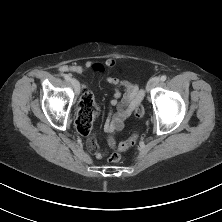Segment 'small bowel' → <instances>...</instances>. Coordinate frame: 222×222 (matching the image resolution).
<instances>
[{
    "instance_id": "obj_1",
    "label": "small bowel",
    "mask_w": 222,
    "mask_h": 222,
    "mask_svg": "<svg viewBox=\"0 0 222 222\" xmlns=\"http://www.w3.org/2000/svg\"><path fill=\"white\" fill-rule=\"evenodd\" d=\"M116 61L114 59L106 60L105 64L95 63L93 61H88L85 65H62L60 71H71L78 74H84L88 70L99 72L106 67H114ZM107 82L115 88V93L113 99L110 102L111 107H116L115 112H110L104 128L107 132L114 133L123 129L125 122L132 115L135 107L143 99V91L135 84L127 81L121 80L115 77H108ZM93 129V123L89 129L87 135H90ZM89 147L95 151V156L98 159H101L105 153L98 150L96 146V138L93 135H90L87 139Z\"/></svg>"
}]
</instances>
